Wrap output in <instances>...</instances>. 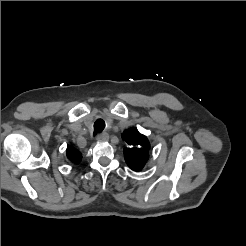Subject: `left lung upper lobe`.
I'll return each instance as SVG.
<instances>
[{
    "label": "left lung upper lobe",
    "instance_id": "left-lung-upper-lobe-1",
    "mask_svg": "<svg viewBox=\"0 0 246 246\" xmlns=\"http://www.w3.org/2000/svg\"><path fill=\"white\" fill-rule=\"evenodd\" d=\"M122 138L128 144V148L124 149L127 165L134 171H140L149 158L150 143L147 137L136 129H128Z\"/></svg>",
    "mask_w": 246,
    "mask_h": 246
}]
</instances>
